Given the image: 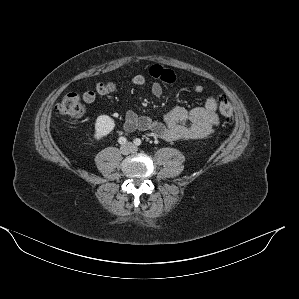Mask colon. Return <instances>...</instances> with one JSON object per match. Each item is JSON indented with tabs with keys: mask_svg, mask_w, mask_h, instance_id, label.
Masks as SVG:
<instances>
[{
	"mask_svg": "<svg viewBox=\"0 0 299 299\" xmlns=\"http://www.w3.org/2000/svg\"><path fill=\"white\" fill-rule=\"evenodd\" d=\"M218 109L226 123H232L233 107L226 98L218 100ZM84 109L80 95L75 92L66 94L57 106V113L62 117L79 119L83 115Z\"/></svg>",
	"mask_w": 299,
	"mask_h": 299,
	"instance_id": "5ec220e1",
	"label": "colon"
}]
</instances>
